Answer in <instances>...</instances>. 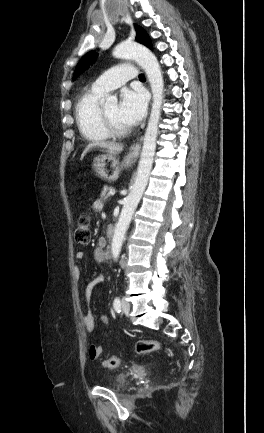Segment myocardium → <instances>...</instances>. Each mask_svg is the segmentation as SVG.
I'll list each match as a JSON object with an SVG mask.
<instances>
[{"label":"myocardium","instance_id":"obj_1","mask_svg":"<svg viewBox=\"0 0 264 433\" xmlns=\"http://www.w3.org/2000/svg\"><path fill=\"white\" fill-rule=\"evenodd\" d=\"M100 113H101V117H102L104 126L111 136L124 137V136H127L131 132V129L129 127L128 128H121V127L117 126L114 123V121L110 118V116L107 114L104 107H101Z\"/></svg>","mask_w":264,"mask_h":433}]
</instances>
